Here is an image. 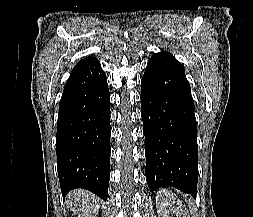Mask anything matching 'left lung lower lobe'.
<instances>
[{"instance_id":"0a47b994","label":"left lung lower lobe","mask_w":253,"mask_h":217,"mask_svg":"<svg viewBox=\"0 0 253 217\" xmlns=\"http://www.w3.org/2000/svg\"><path fill=\"white\" fill-rule=\"evenodd\" d=\"M146 179L150 191L171 186L195 196L198 147L194 101L181 63L163 52L141 80Z\"/></svg>"}]
</instances>
